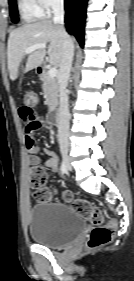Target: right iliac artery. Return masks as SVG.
Listing matches in <instances>:
<instances>
[{
    "label": "right iliac artery",
    "mask_w": 134,
    "mask_h": 281,
    "mask_svg": "<svg viewBox=\"0 0 134 281\" xmlns=\"http://www.w3.org/2000/svg\"><path fill=\"white\" fill-rule=\"evenodd\" d=\"M66 172H67L66 165H65L64 160H62V162H61V173L65 174Z\"/></svg>",
    "instance_id": "82829eb1"
}]
</instances>
